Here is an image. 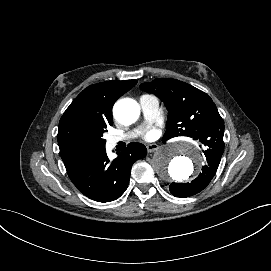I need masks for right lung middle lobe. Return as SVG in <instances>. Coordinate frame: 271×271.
I'll list each match as a JSON object with an SVG mask.
<instances>
[{
  "mask_svg": "<svg viewBox=\"0 0 271 271\" xmlns=\"http://www.w3.org/2000/svg\"><path fill=\"white\" fill-rule=\"evenodd\" d=\"M112 124L83 117L67 119L58 130L60 154L78 156L105 147L103 133Z\"/></svg>",
  "mask_w": 271,
  "mask_h": 271,
  "instance_id": "dd1d6c3e",
  "label": "right lung middle lobe"
}]
</instances>
